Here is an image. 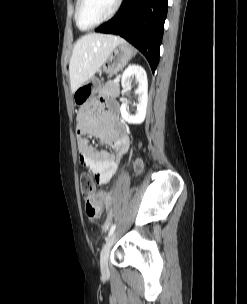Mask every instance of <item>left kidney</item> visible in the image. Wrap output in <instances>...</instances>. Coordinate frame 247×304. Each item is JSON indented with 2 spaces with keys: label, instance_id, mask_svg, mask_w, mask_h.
I'll return each mask as SVG.
<instances>
[{
  "label": "left kidney",
  "instance_id": "1",
  "mask_svg": "<svg viewBox=\"0 0 247 304\" xmlns=\"http://www.w3.org/2000/svg\"><path fill=\"white\" fill-rule=\"evenodd\" d=\"M134 75L139 83L138 89L135 91V94L139 96L136 104L137 112L135 115H131L126 103H122L120 112L122 118L129 124H140L145 119L148 102V81L144 68L140 65H129L123 72L121 84L123 88L129 87L130 78Z\"/></svg>",
  "mask_w": 247,
  "mask_h": 304
}]
</instances>
